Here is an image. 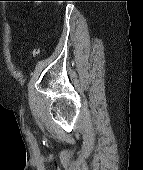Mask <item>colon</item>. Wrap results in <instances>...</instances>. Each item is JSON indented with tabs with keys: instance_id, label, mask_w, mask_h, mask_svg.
<instances>
[{
	"instance_id": "colon-1",
	"label": "colon",
	"mask_w": 143,
	"mask_h": 170,
	"mask_svg": "<svg viewBox=\"0 0 143 170\" xmlns=\"http://www.w3.org/2000/svg\"><path fill=\"white\" fill-rule=\"evenodd\" d=\"M30 1H61V0H30Z\"/></svg>"
}]
</instances>
